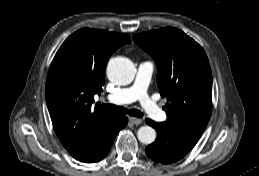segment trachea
Wrapping results in <instances>:
<instances>
[{
	"instance_id": "obj_1",
	"label": "trachea",
	"mask_w": 259,
	"mask_h": 176,
	"mask_svg": "<svg viewBox=\"0 0 259 176\" xmlns=\"http://www.w3.org/2000/svg\"><path fill=\"white\" fill-rule=\"evenodd\" d=\"M103 106L109 112L119 113V114H127L128 113L129 115L134 116V117H142L143 116V113L139 110H136V109L127 110L124 107H118V106H115V105H112V104H103Z\"/></svg>"
}]
</instances>
